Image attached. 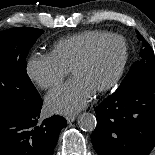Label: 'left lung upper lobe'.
<instances>
[{
  "instance_id": "1",
  "label": "left lung upper lobe",
  "mask_w": 155,
  "mask_h": 155,
  "mask_svg": "<svg viewBox=\"0 0 155 155\" xmlns=\"http://www.w3.org/2000/svg\"><path fill=\"white\" fill-rule=\"evenodd\" d=\"M136 33L137 38L142 43V48L139 53L141 58L132 65L128 74L118 87L120 89H125L136 85L142 80L146 79L148 76L155 74L154 52L148 42H146V40L141 36V34L138 31H136Z\"/></svg>"
}]
</instances>
